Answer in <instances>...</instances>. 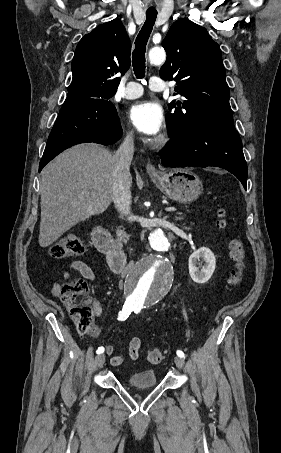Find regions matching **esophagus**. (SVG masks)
I'll use <instances>...</instances> for the list:
<instances>
[{
  "label": "esophagus",
  "mask_w": 281,
  "mask_h": 453,
  "mask_svg": "<svg viewBox=\"0 0 281 453\" xmlns=\"http://www.w3.org/2000/svg\"><path fill=\"white\" fill-rule=\"evenodd\" d=\"M146 170H147L148 174H150V175L157 174V169L149 163L146 165Z\"/></svg>",
  "instance_id": "34e87169"
}]
</instances>
